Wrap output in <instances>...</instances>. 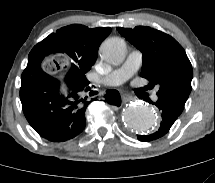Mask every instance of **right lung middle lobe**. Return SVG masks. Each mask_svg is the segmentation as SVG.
<instances>
[{
	"mask_svg": "<svg viewBox=\"0 0 215 183\" xmlns=\"http://www.w3.org/2000/svg\"><path fill=\"white\" fill-rule=\"evenodd\" d=\"M63 51V53L57 54H62L66 59L72 62L71 69L77 76L80 74L85 75L95 63V60L87 56L82 49L65 45Z\"/></svg>",
	"mask_w": 215,
	"mask_h": 183,
	"instance_id": "1",
	"label": "right lung middle lobe"
}]
</instances>
